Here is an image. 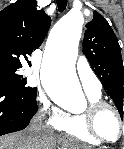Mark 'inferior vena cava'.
Here are the masks:
<instances>
[{
    "mask_svg": "<svg viewBox=\"0 0 124 149\" xmlns=\"http://www.w3.org/2000/svg\"><path fill=\"white\" fill-rule=\"evenodd\" d=\"M28 129L31 131V132H38V131H41L42 129H44L41 125V117L38 115L36 116L30 126L28 127Z\"/></svg>",
    "mask_w": 124,
    "mask_h": 149,
    "instance_id": "1",
    "label": "inferior vena cava"
}]
</instances>
